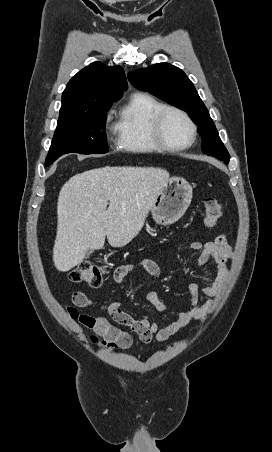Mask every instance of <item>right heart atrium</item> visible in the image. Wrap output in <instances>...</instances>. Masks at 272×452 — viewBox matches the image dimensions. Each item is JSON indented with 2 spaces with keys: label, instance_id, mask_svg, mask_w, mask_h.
I'll return each instance as SVG.
<instances>
[{
  "label": "right heart atrium",
  "instance_id": "d8ad5b80",
  "mask_svg": "<svg viewBox=\"0 0 272 452\" xmlns=\"http://www.w3.org/2000/svg\"><path fill=\"white\" fill-rule=\"evenodd\" d=\"M110 118H111V115H110V113H109V114L106 116V120L109 121Z\"/></svg>",
  "mask_w": 272,
  "mask_h": 452
}]
</instances>
